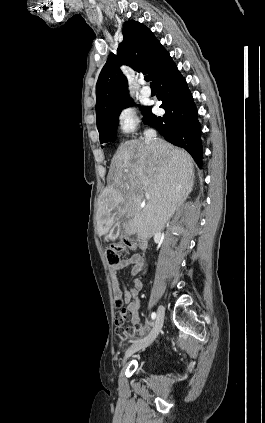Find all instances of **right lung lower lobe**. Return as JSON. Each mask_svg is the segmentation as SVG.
<instances>
[{
  "instance_id": "obj_1",
  "label": "right lung lower lobe",
  "mask_w": 265,
  "mask_h": 423,
  "mask_svg": "<svg viewBox=\"0 0 265 423\" xmlns=\"http://www.w3.org/2000/svg\"><path fill=\"white\" fill-rule=\"evenodd\" d=\"M157 98L162 100L163 116H156L149 107L143 122L156 130L170 143L187 150L202 168V143L197 110L187 83L171 60L153 79Z\"/></svg>"
}]
</instances>
